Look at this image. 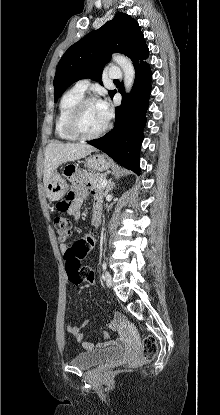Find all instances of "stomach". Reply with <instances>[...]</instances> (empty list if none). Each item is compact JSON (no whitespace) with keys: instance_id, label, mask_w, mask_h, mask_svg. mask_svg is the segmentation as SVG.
I'll return each mask as SVG.
<instances>
[{"instance_id":"obj_1","label":"stomach","mask_w":220,"mask_h":415,"mask_svg":"<svg viewBox=\"0 0 220 415\" xmlns=\"http://www.w3.org/2000/svg\"><path fill=\"white\" fill-rule=\"evenodd\" d=\"M86 165L89 169L97 172L110 168V162L101 154L89 155L86 158ZM68 188L69 185L66 179L62 178L60 174L54 173L46 186V193L50 200L58 201L65 196Z\"/></svg>"}]
</instances>
